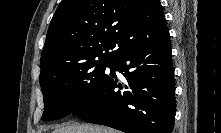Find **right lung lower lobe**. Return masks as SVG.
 I'll return each instance as SVG.
<instances>
[{
  "mask_svg": "<svg viewBox=\"0 0 221 133\" xmlns=\"http://www.w3.org/2000/svg\"><path fill=\"white\" fill-rule=\"evenodd\" d=\"M115 71L127 84L123 91ZM176 114L174 67L169 37L123 53L110 77L75 115L126 133H171Z\"/></svg>",
  "mask_w": 221,
  "mask_h": 133,
  "instance_id": "obj_1",
  "label": "right lung lower lobe"
}]
</instances>
